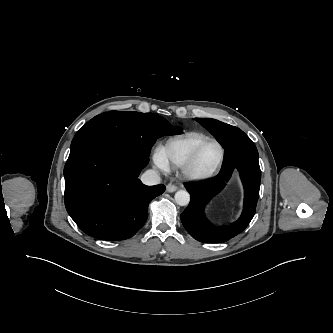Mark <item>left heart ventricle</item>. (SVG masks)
Instances as JSON below:
<instances>
[{
    "label": "left heart ventricle",
    "instance_id": "b2bd125f",
    "mask_svg": "<svg viewBox=\"0 0 333 333\" xmlns=\"http://www.w3.org/2000/svg\"><path fill=\"white\" fill-rule=\"evenodd\" d=\"M220 150L217 145L210 143L206 145L200 152L195 169L197 172H207L218 161Z\"/></svg>",
    "mask_w": 333,
    "mask_h": 333
}]
</instances>
